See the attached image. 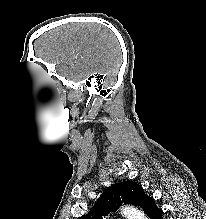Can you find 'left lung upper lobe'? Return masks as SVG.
<instances>
[{
	"instance_id": "left-lung-upper-lobe-1",
	"label": "left lung upper lobe",
	"mask_w": 206,
	"mask_h": 219,
	"mask_svg": "<svg viewBox=\"0 0 206 219\" xmlns=\"http://www.w3.org/2000/svg\"><path fill=\"white\" fill-rule=\"evenodd\" d=\"M152 200L139 184L133 181L120 182L110 186L90 211L78 219H103L102 216H107L111 211L115 212L122 204L140 206L147 214Z\"/></svg>"
}]
</instances>
